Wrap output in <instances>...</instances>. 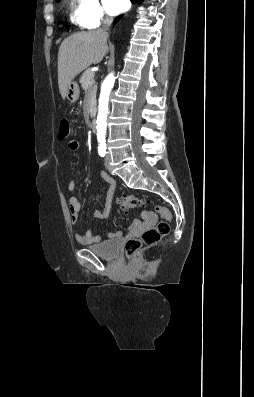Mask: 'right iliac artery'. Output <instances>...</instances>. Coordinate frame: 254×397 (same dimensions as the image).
<instances>
[{
    "label": "right iliac artery",
    "mask_w": 254,
    "mask_h": 397,
    "mask_svg": "<svg viewBox=\"0 0 254 397\" xmlns=\"http://www.w3.org/2000/svg\"><path fill=\"white\" fill-rule=\"evenodd\" d=\"M98 153L101 157H104L106 153V148H98Z\"/></svg>",
    "instance_id": "1"
}]
</instances>
